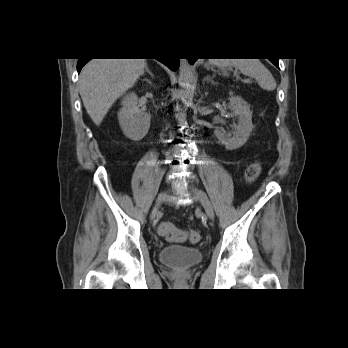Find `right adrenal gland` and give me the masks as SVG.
Here are the masks:
<instances>
[{"instance_id":"1","label":"right adrenal gland","mask_w":348,"mask_h":348,"mask_svg":"<svg viewBox=\"0 0 348 348\" xmlns=\"http://www.w3.org/2000/svg\"><path fill=\"white\" fill-rule=\"evenodd\" d=\"M145 71H146L147 73H149V75H150L152 78H154V75H153L152 72L149 70L148 66L145 67Z\"/></svg>"}]
</instances>
